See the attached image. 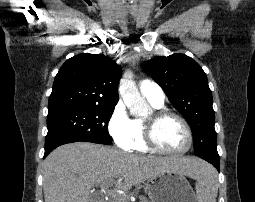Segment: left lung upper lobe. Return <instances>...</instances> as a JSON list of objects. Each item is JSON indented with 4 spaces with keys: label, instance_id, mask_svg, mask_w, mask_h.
Masks as SVG:
<instances>
[{
    "label": "left lung upper lobe",
    "instance_id": "left-lung-upper-lobe-1",
    "mask_svg": "<svg viewBox=\"0 0 255 202\" xmlns=\"http://www.w3.org/2000/svg\"><path fill=\"white\" fill-rule=\"evenodd\" d=\"M142 69L163 88L193 131L195 154L219 161L212 93L203 69L185 54L155 57Z\"/></svg>",
    "mask_w": 255,
    "mask_h": 202
}]
</instances>
